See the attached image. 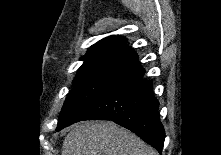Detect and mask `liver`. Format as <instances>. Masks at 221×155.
I'll return each instance as SVG.
<instances>
[{
    "label": "liver",
    "mask_w": 221,
    "mask_h": 155,
    "mask_svg": "<svg viewBox=\"0 0 221 155\" xmlns=\"http://www.w3.org/2000/svg\"><path fill=\"white\" fill-rule=\"evenodd\" d=\"M61 155H158L138 136L111 121L82 122L66 135Z\"/></svg>",
    "instance_id": "obj_1"
}]
</instances>
